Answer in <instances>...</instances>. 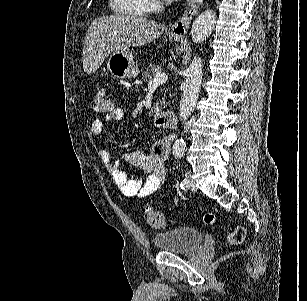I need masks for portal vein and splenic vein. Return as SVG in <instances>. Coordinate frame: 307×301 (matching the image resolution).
Returning <instances> with one entry per match:
<instances>
[{"mask_svg":"<svg viewBox=\"0 0 307 301\" xmlns=\"http://www.w3.org/2000/svg\"><path fill=\"white\" fill-rule=\"evenodd\" d=\"M168 78V74L165 72H157L152 80H149L148 86H158V84H162V82H166Z\"/></svg>","mask_w":307,"mask_h":301,"instance_id":"1","label":"portal vein and splenic vein"}]
</instances>
